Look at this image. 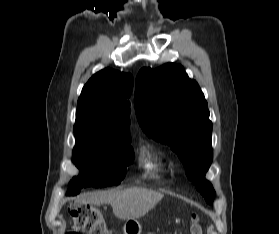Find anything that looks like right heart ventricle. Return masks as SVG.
I'll use <instances>...</instances> for the list:
<instances>
[{"instance_id":"right-heart-ventricle-1","label":"right heart ventricle","mask_w":279,"mask_h":234,"mask_svg":"<svg viewBox=\"0 0 279 234\" xmlns=\"http://www.w3.org/2000/svg\"><path fill=\"white\" fill-rule=\"evenodd\" d=\"M141 162L145 169L153 172H161L167 167L163 156L150 147L141 150Z\"/></svg>"}]
</instances>
